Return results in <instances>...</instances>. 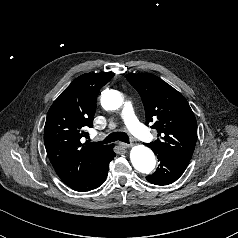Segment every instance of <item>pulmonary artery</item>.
<instances>
[{
    "mask_svg": "<svg viewBox=\"0 0 238 238\" xmlns=\"http://www.w3.org/2000/svg\"><path fill=\"white\" fill-rule=\"evenodd\" d=\"M121 116L129 130L139 139L149 141L151 135L135 115L131 101H126Z\"/></svg>",
    "mask_w": 238,
    "mask_h": 238,
    "instance_id": "pulmonary-artery-1",
    "label": "pulmonary artery"
}]
</instances>
